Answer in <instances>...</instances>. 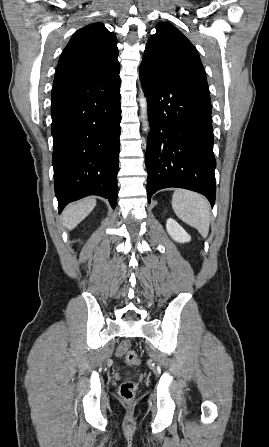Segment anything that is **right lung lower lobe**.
<instances>
[{"label": "right lung lower lobe", "instance_id": "obj_1", "mask_svg": "<svg viewBox=\"0 0 269 447\" xmlns=\"http://www.w3.org/2000/svg\"><path fill=\"white\" fill-rule=\"evenodd\" d=\"M120 70L92 81L54 85L51 132L59 212L89 195L117 199Z\"/></svg>", "mask_w": 269, "mask_h": 447}]
</instances>
